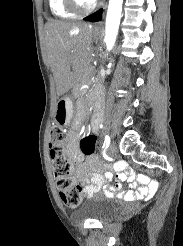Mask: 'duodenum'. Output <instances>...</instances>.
I'll return each instance as SVG.
<instances>
[{
    "label": "duodenum",
    "mask_w": 183,
    "mask_h": 246,
    "mask_svg": "<svg viewBox=\"0 0 183 246\" xmlns=\"http://www.w3.org/2000/svg\"><path fill=\"white\" fill-rule=\"evenodd\" d=\"M100 95H101V90L97 89L96 92H95V97H96L97 100L99 99Z\"/></svg>",
    "instance_id": "410a0bca"
}]
</instances>
